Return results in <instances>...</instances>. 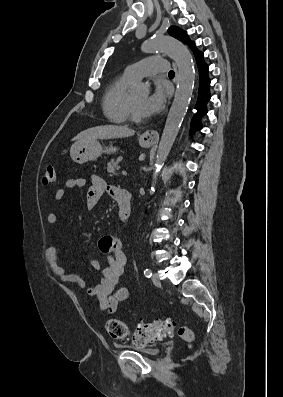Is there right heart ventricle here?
<instances>
[{"label":"right heart ventricle","instance_id":"e07e8e85","mask_svg":"<svg viewBox=\"0 0 283 397\" xmlns=\"http://www.w3.org/2000/svg\"><path fill=\"white\" fill-rule=\"evenodd\" d=\"M132 82V79L122 74L107 86L102 100V108L109 121L123 124L128 120L129 86Z\"/></svg>","mask_w":283,"mask_h":397}]
</instances>
